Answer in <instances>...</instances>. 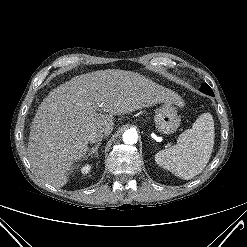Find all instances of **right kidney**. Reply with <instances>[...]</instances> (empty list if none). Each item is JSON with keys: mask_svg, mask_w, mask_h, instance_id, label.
Returning <instances> with one entry per match:
<instances>
[{"mask_svg": "<svg viewBox=\"0 0 247 247\" xmlns=\"http://www.w3.org/2000/svg\"><path fill=\"white\" fill-rule=\"evenodd\" d=\"M90 169H91V166L89 164H86L82 166L80 170H81V173L85 175L89 173Z\"/></svg>", "mask_w": 247, "mask_h": 247, "instance_id": "ca27d5eb", "label": "right kidney"}]
</instances>
